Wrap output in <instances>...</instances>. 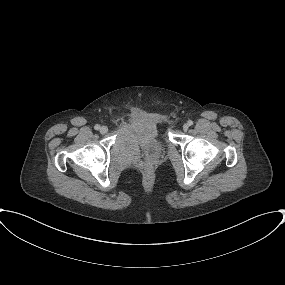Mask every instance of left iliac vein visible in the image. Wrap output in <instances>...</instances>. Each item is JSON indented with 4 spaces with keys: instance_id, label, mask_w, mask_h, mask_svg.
Returning <instances> with one entry per match:
<instances>
[{
    "instance_id": "1",
    "label": "left iliac vein",
    "mask_w": 285,
    "mask_h": 285,
    "mask_svg": "<svg viewBox=\"0 0 285 285\" xmlns=\"http://www.w3.org/2000/svg\"><path fill=\"white\" fill-rule=\"evenodd\" d=\"M188 128H189V125H188V124H184V125H183V130H184V131H187Z\"/></svg>"
}]
</instances>
